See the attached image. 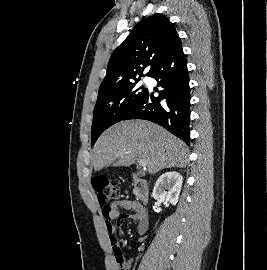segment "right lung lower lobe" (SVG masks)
Wrapping results in <instances>:
<instances>
[{"label":"right lung lower lobe","instance_id":"98d812e1","mask_svg":"<svg viewBox=\"0 0 267 270\" xmlns=\"http://www.w3.org/2000/svg\"><path fill=\"white\" fill-rule=\"evenodd\" d=\"M164 89L155 97L148 91L123 120L145 119L163 126L185 143L190 141V87L181 43L173 48L150 76Z\"/></svg>","mask_w":267,"mask_h":270}]
</instances>
